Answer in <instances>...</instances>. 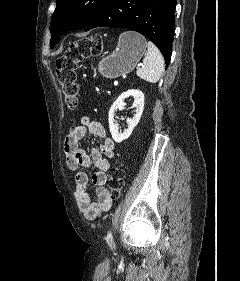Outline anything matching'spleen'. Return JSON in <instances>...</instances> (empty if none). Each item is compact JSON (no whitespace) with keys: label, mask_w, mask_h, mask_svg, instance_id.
<instances>
[{"label":"spleen","mask_w":240,"mask_h":281,"mask_svg":"<svg viewBox=\"0 0 240 281\" xmlns=\"http://www.w3.org/2000/svg\"><path fill=\"white\" fill-rule=\"evenodd\" d=\"M148 52L143 59V67L137 69V76L149 82L156 83L164 72V58L159 49L149 41Z\"/></svg>","instance_id":"spleen-1"}]
</instances>
